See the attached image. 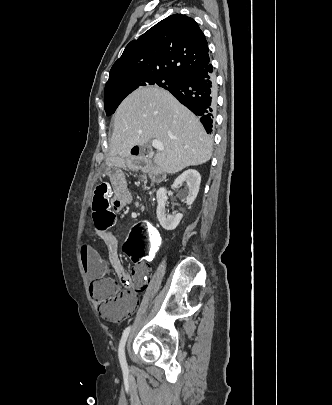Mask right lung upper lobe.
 <instances>
[{
	"label": "right lung upper lobe",
	"instance_id": "obj_1",
	"mask_svg": "<svg viewBox=\"0 0 332 405\" xmlns=\"http://www.w3.org/2000/svg\"><path fill=\"white\" fill-rule=\"evenodd\" d=\"M207 41L195 20L171 15L131 41L110 70V84L138 73L184 76L210 62Z\"/></svg>",
	"mask_w": 332,
	"mask_h": 405
}]
</instances>
